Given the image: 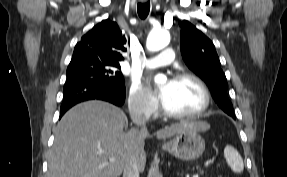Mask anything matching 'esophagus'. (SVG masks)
<instances>
[{"label": "esophagus", "instance_id": "1", "mask_svg": "<svg viewBox=\"0 0 287 177\" xmlns=\"http://www.w3.org/2000/svg\"><path fill=\"white\" fill-rule=\"evenodd\" d=\"M142 3H146L147 2V0H140Z\"/></svg>", "mask_w": 287, "mask_h": 177}]
</instances>
